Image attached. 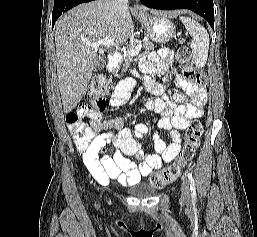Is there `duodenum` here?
Returning <instances> with one entry per match:
<instances>
[{"mask_svg":"<svg viewBox=\"0 0 257 237\" xmlns=\"http://www.w3.org/2000/svg\"><path fill=\"white\" fill-rule=\"evenodd\" d=\"M118 62H119L118 56L117 55H111V57L109 59V68L110 69H115Z\"/></svg>","mask_w":257,"mask_h":237,"instance_id":"obj_1","label":"duodenum"}]
</instances>
